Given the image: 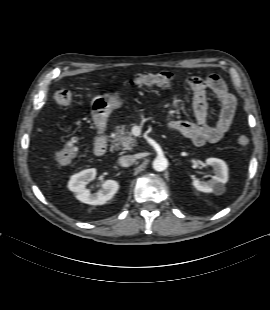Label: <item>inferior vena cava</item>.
Returning a JSON list of instances; mask_svg holds the SVG:
<instances>
[{
	"label": "inferior vena cava",
	"mask_w": 270,
	"mask_h": 310,
	"mask_svg": "<svg viewBox=\"0 0 270 310\" xmlns=\"http://www.w3.org/2000/svg\"><path fill=\"white\" fill-rule=\"evenodd\" d=\"M118 162L122 167H129L135 162V157L133 155H124L119 158Z\"/></svg>",
	"instance_id": "1"
}]
</instances>
